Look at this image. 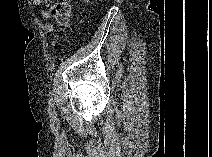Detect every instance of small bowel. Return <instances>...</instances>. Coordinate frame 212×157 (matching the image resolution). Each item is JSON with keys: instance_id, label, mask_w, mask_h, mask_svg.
Segmentation results:
<instances>
[{"instance_id": "1", "label": "small bowel", "mask_w": 212, "mask_h": 157, "mask_svg": "<svg viewBox=\"0 0 212 157\" xmlns=\"http://www.w3.org/2000/svg\"><path fill=\"white\" fill-rule=\"evenodd\" d=\"M31 5L34 6V7H42L43 5V1L42 0H32L31 1ZM42 18H44L46 20V22L44 24L42 23H39L40 27L42 28V30L46 33V34H49L53 31L54 29V25L53 23L49 20L50 18V15H49V12L45 9H42L41 12H40ZM51 44L54 45L55 42L54 40H51Z\"/></svg>"}]
</instances>
